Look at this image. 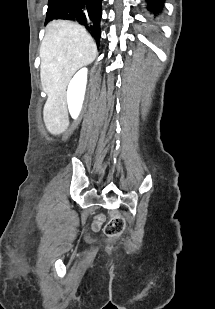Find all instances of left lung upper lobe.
<instances>
[{
    "label": "left lung upper lobe",
    "instance_id": "1",
    "mask_svg": "<svg viewBox=\"0 0 215 309\" xmlns=\"http://www.w3.org/2000/svg\"><path fill=\"white\" fill-rule=\"evenodd\" d=\"M148 2V7L147 9L154 14L159 13L163 6H162V1L163 0H146Z\"/></svg>",
    "mask_w": 215,
    "mask_h": 309
}]
</instances>
